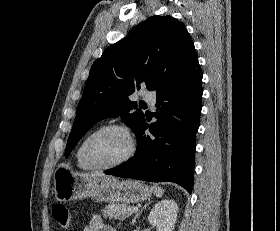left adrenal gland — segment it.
Returning a JSON list of instances; mask_svg holds the SVG:
<instances>
[{
	"label": "left adrenal gland",
	"mask_w": 280,
	"mask_h": 231,
	"mask_svg": "<svg viewBox=\"0 0 280 231\" xmlns=\"http://www.w3.org/2000/svg\"><path fill=\"white\" fill-rule=\"evenodd\" d=\"M149 203H152V201H148V203H145V205H143V207H141L140 211H138V213H136V215H134L132 221H130L131 225H134L137 217H139L140 213H142L143 209H146L147 205H149Z\"/></svg>",
	"instance_id": "a2214340"
}]
</instances>
